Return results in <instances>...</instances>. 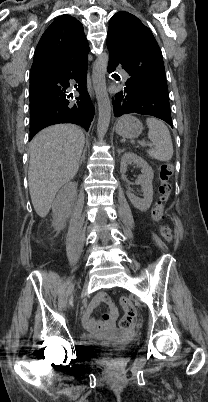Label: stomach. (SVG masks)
Wrapping results in <instances>:
<instances>
[{"mask_svg": "<svg viewBox=\"0 0 208 402\" xmlns=\"http://www.w3.org/2000/svg\"><path fill=\"white\" fill-rule=\"evenodd\" d=\"M143 130V126L137 118L134 116H130V114H125L122 118L117 120L116 124V132L119 136H123V138H138Z\"/></svg>", "mask_w": 208, "mask_h": 402, "instance_id": "1", "label": "stomach"}]
</instances>
